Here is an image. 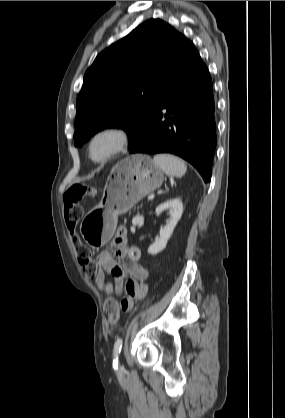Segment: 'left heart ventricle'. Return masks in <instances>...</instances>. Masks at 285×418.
Returning a JSON list of instances; mask_svg holds the SVG:
<instances>
[{"instance_id": "b2bd125f", "label": "left heart ventricle", "mask_w": 285, "mask_h": 418, "mask_svg": "<svg viewBox=\"0 0 285 418\" xmlns=\"http://www.w3.org/2000/svg\"><path fill=\"white\" fill-rule=\"evenodd\" d=\"M113 145V139L111 137H103L97 140L93 145V154L95 157L104 155Z\"/></svg>"}]
</instances>
